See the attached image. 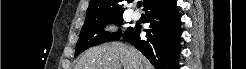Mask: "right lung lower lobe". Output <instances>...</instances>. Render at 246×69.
I'll use <instances>...</instances> for the list:
<instances>
[{
    "mask_svg": "<svg viewBox=\"0 0 246 69\" xmlns=\"http://www.w3.org/2000/svg\"><path fill=\"white\" fill-rule=\"evenodd\" d=\"M149 29L140 37L141 26L128 29L122 37L143 53L156 69H178L180 14L175 0H160L145 9Z\"/></svg>",
    "mask_w": 246,
    "mask_h": 69,
    "instance_id": "right-lung-lower-lobe-1",
    "label": "right lung lower lobe"
}]
</instances>
